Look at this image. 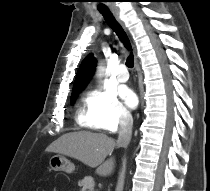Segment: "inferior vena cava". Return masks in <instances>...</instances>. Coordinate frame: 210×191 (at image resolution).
<instances>
[{
    "mask_svg": "<svg viewBox=\"0 0 210 191\" xmlns=\"http://www.w3.org/2000/svg\"><path fill=\"white\" fill-rule=\"evenodd\" d=\"M133 118L130 112L124 111L120 117L117 146L126 148L132 136Z\"/></svg>",
    "mask_w": 210,
    "mask_h": 191,
    "instance_id": "1",
    "label": "inferior vena cava"
}]
</instances>
